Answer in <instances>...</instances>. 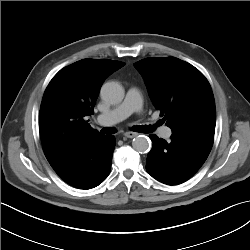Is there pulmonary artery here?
<instances>
[{"instance_id": "pulmonary-artery-1", "label": "pulmonary artery", "mask_w": 250, "mask_h": 250, "mask_svg": "<svg viewBox=\"0 0 250 250\" xmlns=\"http://www.w3.org/2000/svg\"><path fill=\"white\" fill-rule=\"evenodd\" d=\"M142 109V94L139 88L131 87L127 91L125 100L115 108L101 113L96 117V121L100 125H113L118 123L134 112H139ZM159 135L164 139H169L172 130L170 127L163 126L158 131Z\"/></svg>"}]
</instances>
